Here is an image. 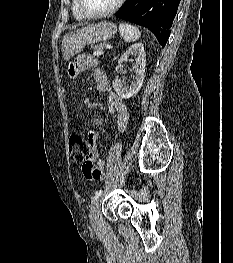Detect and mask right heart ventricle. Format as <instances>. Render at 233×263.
<instances>
[{
	"label": "right heart ventricle",
	"instance_id": "right-heart-ventricle-1",
	"mask_svg": "<svg viewBox=\"0 0 233 263\" xmlns=\"http://www.w3.org/2000/svg\"><path fill=\"white\" fill-rule=\"evenodd\" d=\"M73 15L74 17L77 19V20H83L84 17L80 14L78 8H77V2L76 0H74V3H73Z\"/></svg>",
	"mask_w": 233,
	"mask_h": 263
}]
</instances>
